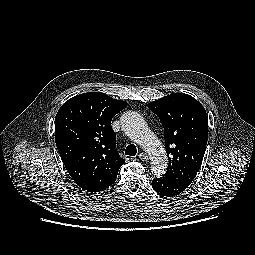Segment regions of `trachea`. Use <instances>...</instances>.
<instances>
[{
    "label": "trachea",
    "instance_id": "3493384b",
    "mask_svg": "<svg viewBox=\"0 0 255 255\" xmlns=\"http://www.w3.org/2000/svg\"><path fill=\"white\" fill-rule=\"evenodd\" d=\"M137 153V149L135 147V145L130 144L127 146L126 150H125V154L129 155V156H135Z\"/></svg>",
    "mask_w": 255,
    "mask_h": 255
}]
</instances>
